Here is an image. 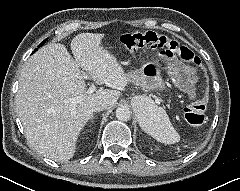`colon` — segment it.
Segmentation results:
<instances>
[{
	"instance_id": "obj_1",
	"label": "colon",
	"mask_w": 240,
	"mask_h": 191,
	"mask_svg": "<svg viewBox=\"0 0 240 191\" xmlns=\"http://www.w3.org/2000/svg\"><path fill=\"white\" fill-rule=\"evenodd\" d=\"M121 44L129 50H136L144 47L159 48L161 54L166 57H172L177 54L183 61L193 64L195 67L201 68V60L193 53L191 49L181 45L177 40L168 36L154 32H135L124 35ZM208 96L207 85L204 88L203 96L193 101L185 109V118L191 125L199 126L205 120L206 102Z\"/></svg>"
}]
</instances>
